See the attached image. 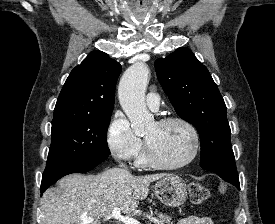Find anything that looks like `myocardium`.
<instances>
[{
	"mask_svg": "<svg viewBox=\"0 0 275 224\" xmlns=\"http://www.w3.org/2000/svg\"><path fill=\"white\" fill-rule=\"evenodd\" d=\"M174 122L183 124L191 133L193 149L190 157L178 164H168L162 162L155 156L149 143L145 140L144 156L148 165L163 170H177L190 165L197 158L200 149V137L196 127L189 120L180 116H165L160 118L156 123L160 126H164Z\"/></svg>",
	"mask_w": 275,
	"mask_h": 224,
	"instance_id": "1",
	"label": "myocardium"
}]
</instances>
